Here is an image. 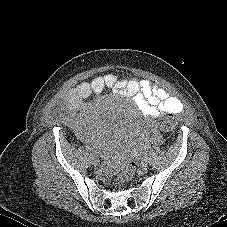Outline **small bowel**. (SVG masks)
Masks as SVG:
<instances>
[{
  "label": "small bowel",
  "mask_w": 227,
  "mask_h": 227,
  "mask_svg": "<svg viewBox=\"0 0 227 227\" xmlns=\"http://www.w3.org/2000/svg\"><path fill=\"white\" fill-rule=\"evenodd\" d=\"M133 98L145 116L155 119L167 114H177L183 109V103L156 83L147 79H120L115 74L107 73L96 76L89 82H82L69 90L64 97L65 119L82 141L90 142L99 149L100 140L91 141L88 136L90 121L88 100L99 98L106 92Z\"/></svg>",
  "instance_id": "c3829d8e"
}]
</instances>
